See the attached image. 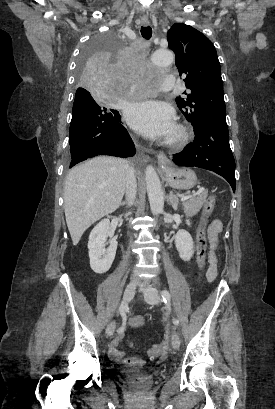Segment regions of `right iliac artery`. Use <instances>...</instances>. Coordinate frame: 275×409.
Returning a JSON list of instances; mask_svg holds the SVG:
<instances>
[{"label":"right iliac artery","mask_w":275,"mask_h":409,"mask_svg":"<svg viewBox=\"0 0 275 409\" xmlns=\"http://www.w3.org/2000/svg\"><path fill=\"white\" fill-rule=\"evenodd\" d=\"M126 310H127V305L124 303V302H122V304L120 305V307H119V312H120V314H121V316L123 317V326H121L119 329H118V333H122V332H124V329H125V327H124V325H125V322H124V318H125V312H126Z\"/></svg>","instance_id":"1"}]
</instances>
